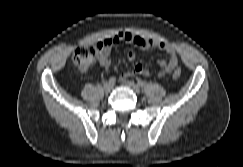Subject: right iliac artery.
<instances>
[{
  "instance_id": "82829eb1",
  "label": "right iliac artery",
  "mask_w": 243,
  "mask_h": 167,
  "mask_svg": "<svg viewBox=\"0 0 243 167\" xmlns=\"http://www.w3.org/2000/svg\"><path fill=\"white\" fill-rule=\"evenodd\" d=\"M109 83H111L112 85H114L116 83V78L115 77H110L109 78Z\"/></svg>"
}]
</instances>
